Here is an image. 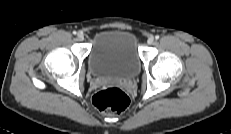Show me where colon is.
I'll return each instance as SVG.
<instances>
[{"instance_id": "5ec220e1", "label": "colon", "mask_w": 231, "mask_h": 134, "mask_svg": "<svg viewBox=\"0 0 231 134\" xmlns=\"http://www.w3.org/2000/svg\"><path fill=\"white\" fill-rule=\"evenodd\" d=\"M128 95L119 87H105L93 96L94 106L106 115H118L129 105Z\"/></svg>"}]
</instances>
